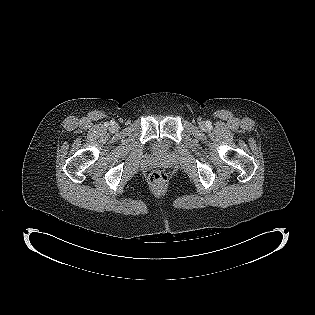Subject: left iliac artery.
Wrapping results in <instances>:
<instances>
[{
  "label": "left iliac artery",
  "instance_id": "44dca946",
  "mask_svg": "<svg viewBox=\"0 0 315 315\" xmlns=\"http://www.w3.org/2000/svg\"><path fill=\"white\" fill-rule=\"evenodd\" d=\"M206 124H207L208 127L211 126V122L210 121H207Z\"/></svg>",
  "mask_w": 315,
  "mask_h": 315
}]
</instances>
